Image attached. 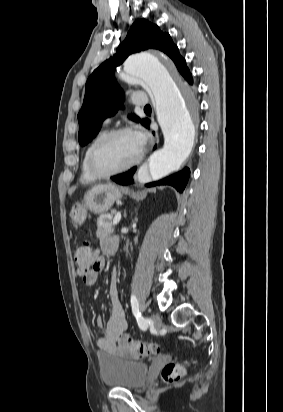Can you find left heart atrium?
Segmentation results:
<instances>
[{"label": "left heart atrium", "instance_id": "left-heart-atrium-1", "mask_svg": "<svg viewBox=\"0 0 283 412\" xmlns=\"http://www.w3.org/2000/svg\"><path fill=\"white\" fill-rule=\"evenodd\" d=\"M133 135L136 141L138 142L139 146L142 148L147 139L146 133L142 129H137L133 132Z\"/></svg>", "mask_w": 283, "mask_h": 412}]
</instances>
